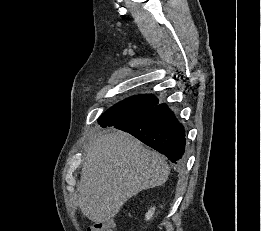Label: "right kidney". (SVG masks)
<instances>
[{
	"mask_svg": "<svg viewBox=\"0 0 261 231\" xmlns=\"http://www.w3.org/2000/svg\"><path fill=\"white\" fill-rule=\"evenodd\" d=\"M154 211H155V208H154V207L151 208L150 210H148V212H147L146 215H145L146 220H150V219L152 218V216H153V214H154Z\"/></svg>",
	"mask_w": 261,
	"mask_h": 231,
	"instance_id": "obj_1",
	"label": "right kidney"
}]
</instances>
